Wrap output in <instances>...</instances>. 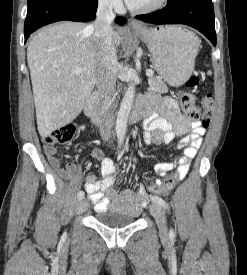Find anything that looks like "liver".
<instances>
[{"mask_svg": "<svg viewBox=\"0 0 247 275\" xmlns=\"http://www.w3.org/2000/svg\"><path fill=\"white\" fill-rule=\"evenodd\" d=\"M84 23L65 21L50 25L32 37L27 48L37 127L42 138L70 122L89 98L99 68H108L102 49ZM115 48L121 31H113ZM80 67L82 72H74ZM116 67L112 69L114 72Z\"/></svg>", "mask_w": 247, "mask_h": 275, "instance_id": "1", "label": "liver"}]
</instances>
